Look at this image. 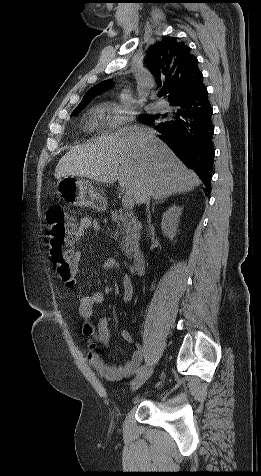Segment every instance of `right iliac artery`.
Wrapping results in <instances>:
<instances>
[{"label": "right iliac artery", "mask_w": 261, "mask_h": 476, "mask_svg": "<svg viewBox=\"0 0 261 476\" xmlns=\"http://www.w3.org/2000/svg\"><path fill=\"white\" fill-rule=\"evenodd\" d=\"M144 370H145V366H141V367H139L138 370L136 371V374H140V373H142Z\"/></svg>", "instance_id": "obj_1"}]
</instances>
